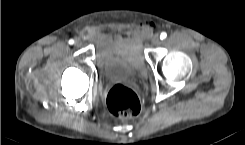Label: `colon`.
<instances>
[{
  "label": "colon",
  "mask_w": 245,
  "mask_h": 145,
  "mask_svg": "<svg viewBox=\"0 0 245 145\" xmlns=\"http://www.w3.org/2000/svg\"><path fill=\"white\" fill-rule=\"evenodd\" d=\"M106 103L109 111L118 117L136 116L141 110L136 93L121 83H116L110 88Z\"/></svg>",
  "instance_id": "colon-1"
}]
</instances>
